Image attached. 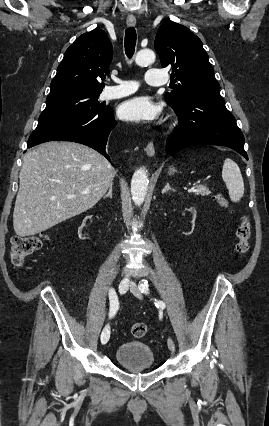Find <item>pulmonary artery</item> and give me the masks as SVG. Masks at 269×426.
I'll list each match as a JSON object with an SVG mask.
<instances>
[{
	"mask_svg": "<svg viewBox=\"0 0 269 426\" xmlns=\"http://www.w3.org/2000/svg\"><path fill=\"white\" fill-rule=\"evenodd\" d=\"M144 78L148 84L154 86L164 85L167 81L166 73L158 68L147 69ZM116 82L118 83L117 86L108 87L103 91L102 97L105 100L125 97L134 93L137 89L136 84L133 82L122 79H117Z\"/></svg>",
	"mask_w": 269,
	"mask_h": 426,
	"instance_id": "obj_1",
	"label": "pulmonary artery"
}]
</instances>
